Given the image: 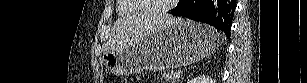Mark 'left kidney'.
I'll use <instances>...</instances> for the list:
<instances>
[{"label":"left kidney","mask_w":307,"mask_h":83,"mask_svg":"<svg viewBox=\"0 0 307 83\" xmlns=\"http://www.w3.org/2000/svg\"><path fill=\"white\" fill-rule=\"evenodd\" d=\"M188 83H215V80L212 77L203 75L192 78Z\"/></svg>","instance_id":"1"}]
</instances>
